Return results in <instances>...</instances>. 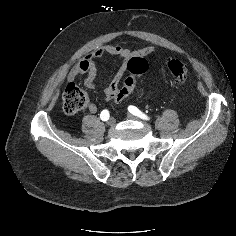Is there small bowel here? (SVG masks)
I'll list each match as a JSON object with an SVG mask.
<instances>
[{"instance_id":"c3829d8e","label":"small bowel","mask_w":236,"mask_h":236,"mask_svg":"<svg viewBox=\"0 0 236 236\" xmlns=\"http://www.w3.org/2000/svg\"><path fill=\"white\" fill-rule=\"evenodd\" d=\"M155 53L156 50L153 47H143L133 51L120 45L107 44L95 49L90 54L86 55L82 60L75 63L68 71L67 79L71 81L78 75H86L84 85L87 88H94L96 86V79L98 75V60L104 55L119 57L123 62L104 90L106 99L108 101H112L115 99V96L119 91V84L127 70L128 61L132 57L145 58L153 56ZM88 109L91 113H96L98 111L97 105L94 103H90Z\"/></svg>"}]
</instances>
